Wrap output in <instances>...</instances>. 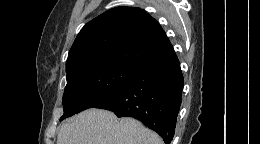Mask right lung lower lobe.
I'll list each match as a JSON object with an SVG mask.
<instances>
[{"label": "right lung lower lobe", "mask_w": 260, "mask_h": 144, "mask_svg": "<svg viewBox=\"0 0 260 144\" xmlns=\"http://www.w3.org/2000/svg\"><path fill=\"white\" fill-rule=\"evenodd\" d=\"M183 75L175 52L135 69L115 93L95 108L133 117L170 144L181 105Z\"/></svg>", "instance_id": "obj_1"}]
</instances>
